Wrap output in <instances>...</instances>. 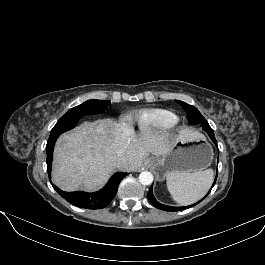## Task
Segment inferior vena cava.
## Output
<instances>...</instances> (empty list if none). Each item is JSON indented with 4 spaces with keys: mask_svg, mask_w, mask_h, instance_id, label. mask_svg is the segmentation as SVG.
Returning a JSON list of instances; mask_svg holds the SVG:
<instances>
[{
    "mask_svg": "<svg viewBox=\"0 0 265 265\" xmlns=\"http://www.w3.org/2000/svg\"><path fill=\"white\" fill-rule=\"evenodd\" d=\"M124 151H125L124 149H119L116 152V163L118 166H121L126 162Z\"/></svg>",
    "mask_w": 265,
    "mask_h": 265,
    "instance_id": "obj_1",
    "label": "inferior vena cava"
}]
</instances>
